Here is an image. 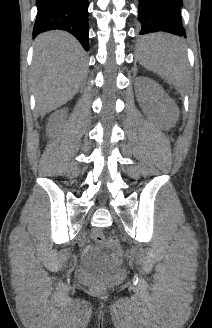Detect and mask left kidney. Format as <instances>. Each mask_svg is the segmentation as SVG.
<instances>
[{"instance_id": "5707ae66", "label": "left kidney", "mask_w": 212, "mask_h": 328, "mask_svg": "<svg viewBox=\"0 0 212 328\" xmlns=\"http://www.w3.org/2000/svg\"><path fill=\"white\" fill-rule=\"evenodd\" d=\"M136 94L145 113L149 112L147 105L149 96L158 101L162 111L161 123L164 128L169 129L176 123L179 117L178 107L155 81L148 78H139L136 84Z\"/></svg>"}]
</instances>
